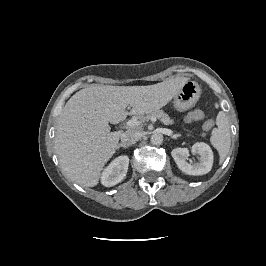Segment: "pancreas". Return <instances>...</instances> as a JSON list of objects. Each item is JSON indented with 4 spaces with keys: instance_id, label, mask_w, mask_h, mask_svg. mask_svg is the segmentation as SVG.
<instances>
[{
    "instance_id": "cf45deb5",
    "label": "pancreas",
    "mask_w": 266,
    "mask_h": 266,
    "mask_svg": "<svg viewBox=\"0 0 266 266\" xmlns=\"http://www.w3.org/2000/svg\"><path fill=\"white\" fill-rule=\"evenodd\" d=\"M151 117L158 118L164 125H172L174 123V120L169 117L167 113H165L163 110H155L150 113H148L146 116H139V120L141 123L149 120Z\"/></svg>"
}]
</instances>
